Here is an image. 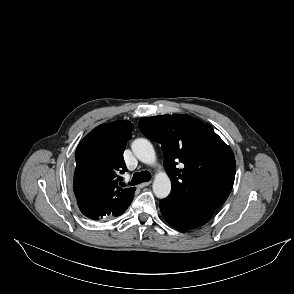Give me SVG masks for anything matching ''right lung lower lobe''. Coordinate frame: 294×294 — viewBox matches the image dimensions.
I'll use <instances>...</instances> for the list:
<instances>
[{"label":"right lung lower lobe","instance_id":"98d812e1","mask_svg":"<svg viewBox=\"0 0 294 294\" xmlns=\"http://www.w3.org/2000/svg\"><path fill=\"white\" fill-rule=\"evenodd\" d=\"M132 200H133V198H132ZM132 200L129 202V204L123 209V211L119 215H121L122 213L125 212V210L128 208V206L131 204Z\"/></svg>","mask_w":294,"mask_h":294}]
</instances>
